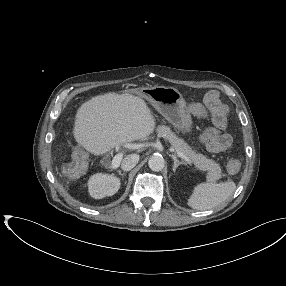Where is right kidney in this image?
I'll return each mask as SVG.
<instances>
[{
	"label": "right kidney",
	"instance_id": "1",
	"mask_svg": "<svg viewBox=\"0 0 286 286\" xmlns=\"http://www.w3.org/2000/svg\"><path fill=\"white\" fill-rule=\"evenodd\" d=\"M120 188V179L114 175L97 173L90 177L88 189L95 199L114 195Z\"/></svg>",
	"mask_w": 286,
	"mask_h": 286
}]
</instances>
